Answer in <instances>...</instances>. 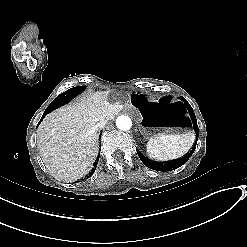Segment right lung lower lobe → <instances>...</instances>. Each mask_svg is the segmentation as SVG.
<instances>
[{
	"label": "right lung lower lobe",
	"mask_w": 247,
	"mask_h": 247,
	"mask_svg": "<svg viewBox=\"0 0 247 247\" xmlns=\"http://www.w3.org/2000/svg\"><path fill=\"white\" fill-rule=\"evenodd\" d=\"M64 101H65V99H60V100H58V101H57V103H58L57 105L61 104V103L64 102ZM47 114H48V112L45 111L44 114H43V116H42V118L40 119V122L43 120V118H44ZM40 122L38 123V125L40 124ZM98 159H99V158H98ZM97 163H98V161L95 162V164H94V169L90 172L89 176H91V175L95 172Z\"/></svg>",
	"instance_id": "98d812e1"
}]
</instances>
